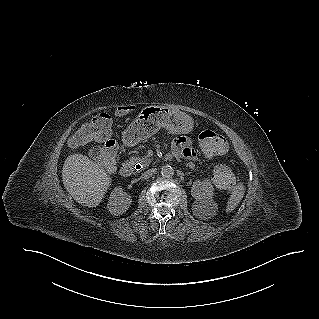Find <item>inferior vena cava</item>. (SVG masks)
<instances>
[{"instance_id": "602c4592", "label": "inferior vena cava", "mask_w": 319, "mask_h": 319, "mask_svg": "<svg viewBox=\"0 0 319 319\" xmlns=\"http://www.w3.org/2000/svg\"><path fill=\"white\" fill-rule=\"evenodd\" d=\"M155 172H156L155 169H149L142 174L141 178L147 179L151 177Z\"/></svg>"}]
</instances>
